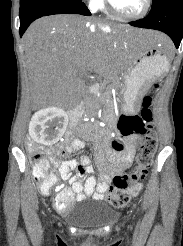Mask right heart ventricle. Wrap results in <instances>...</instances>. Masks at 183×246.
Wrapping results in <instances>:
<instances>
[{"instance_id": "right-heart-ventricle-1", "label": "right heart ventricle", "mask_w": 183, "mask_h": 246, "mask_svg": "<svg viewBox=\"0 0 183 246\" xmlns=\"http://www.w3.org/2000/svg\"><path fill=\"white\" fill-rule=\"evenodd\" d=\"M98 8H100V9H105V7H104V5L102 4V2H101V4L98 6Z\"/></svg>"}]
</instances>
